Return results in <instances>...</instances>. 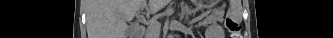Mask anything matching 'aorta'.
<instances>
[{"label": "aorta", "mask_w": 333, "mask_h": 38, "mask_svg": "<svg viewBox=\"0 0 333 38\" xmlns=\"http://www.w3.org/2000/svg\"><path fill=\"white\" fill-rule=\"evenodd\" d=\"M172 36H173V35H172V34H170V35H169V38H172Z\"/></svg>", "instance_id": "obj_1"}]
</instances>
